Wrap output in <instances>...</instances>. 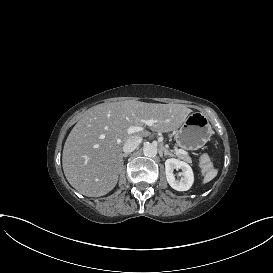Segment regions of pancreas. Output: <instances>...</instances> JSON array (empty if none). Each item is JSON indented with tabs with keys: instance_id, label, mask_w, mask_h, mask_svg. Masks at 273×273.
I'll list each match as a JSON object with an SVG mask.
<instances>
[{
	"instance_id": "cf45deb5",
	"label": "pancreas",
	"mask_w": 273,
	"mask_h": 273,
	"mask_svg": "<svg viewBox=\"0 0 273 273\" xmlns=\"http://www.w3.org/2000/svg\"><path fill=\"white\" fill-rule=\"evenodd\" d=\"M176 156L180 159H183L187 162H192V158L185 152H183L182 154H179L178 152H176Z\"/></svg>"
}]
</instances>
